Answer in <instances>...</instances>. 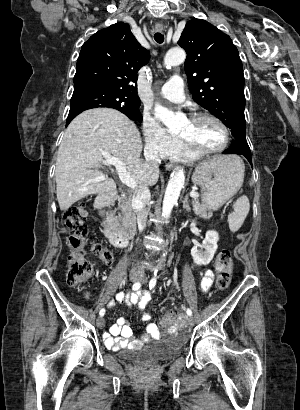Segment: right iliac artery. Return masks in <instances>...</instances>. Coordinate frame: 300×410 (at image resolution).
Here are the masks:
<instances>
[{"mask_svg":"<svg viewBox=\"0 0 300 410\" xmlns=\"http://www.w3.org/2000/svg\"><path fill=\"white\" fill-rule=\"evenodd\" d=\"M140 287H141V282H136V283L133 284L132 289H133V290H138ZM118 295H119V294H118ZM118 295H117V296H118ZM104 314H105V309L103 308V309L100 310L99 315H100L101 317H103Z\"/></svg>","mask_w":300,"mask_h":410,"instance_id":"1","label":"right iliac artery"}]
</instances>
